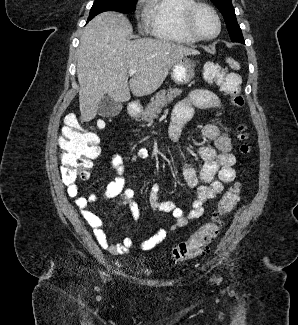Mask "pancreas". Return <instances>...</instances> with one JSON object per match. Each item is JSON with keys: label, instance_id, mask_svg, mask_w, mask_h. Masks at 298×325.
Segmentation results:
<instances>
[{"label": "pancreas", "instance_id": "1", "mask_svg": "<svg viewBox=\"0 0 298 325\" xmlns=\"http://www.w3.org/2000/svg\"><path fill=\"white\" fill-rule=\"evenodd\" d=\"M182 88H163V90H158L154 96L151 98V102L145 106V112H143L142 120L145 122H153V118H158L162 108L167 106L168 102H173L176 96L181 94Z\"/></svg>", "mask_w": 298, "mask_h": 325}]
</instances>
